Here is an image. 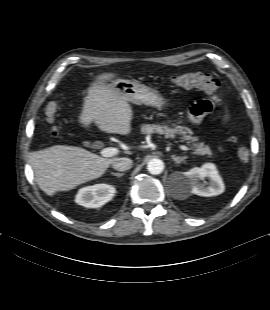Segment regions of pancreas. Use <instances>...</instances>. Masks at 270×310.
Instances as JSON below:
<instances>
[{
    "instance_id": "obj_1",
    "label": "pancreas",
    "mask_w": 270,
    "mask_h": 310,
    "mask_svg": "<svg viewBox=\"0 0 270 310\" xmlns=\"http://www.w3.org/2000/svg\"><path fill=\"white\" fill-rule=\"evenodd\" d=\"M141 132L143 134H163L166 138H175L176 135H179L182 141H186L192 147L194 154L213 156L211 148L203 142H197L198 137L191 136L192 131L187 127L174 125V128H170L166 125L147 124L141 127Z\"/></svg>"
}]
</instances>
